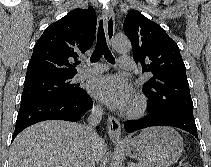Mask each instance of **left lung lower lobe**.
Listing matches in <instances>:
<instances>
[{"label":"left lung lower lobe","instance_id":"0a47b994","mask_svg":"<svg viewBox=\"0 0 211 167\" xmlns=\"http://www.w3.org/2000/svg\"><path fill=\"white\" fill-rule=\"evenodd\" d=\"M151 126H174L181 128L198 139L197 127L192 116L172 112L165 114H149L148 116L138 119V120H129L124 124L125 130L129 133L136 130L151 127Z\"/></svg>","mask_w":211,"mask_h":167}]
</instances>
